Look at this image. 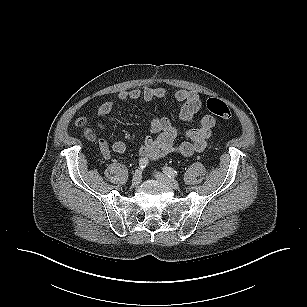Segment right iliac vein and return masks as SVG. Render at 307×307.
I'll return each mask as SVG.
<instances>
[{
    "label": "right iliac vein",
    "mask_w": 307,
    "mask_h": 307,
    "mask_svg": "<svg viewBox=\"0 0 307 307\" xmlns=\"http://www.w3.org/2000/svg\"><path fill=\"white\" fill-rule=\"evenodd\" d=\"M141 180H142V172L140 170H136L132 178L131 186L137 187L140 184Z\"/></svg>",
    "instance_id": "1"
}]
</instances>
